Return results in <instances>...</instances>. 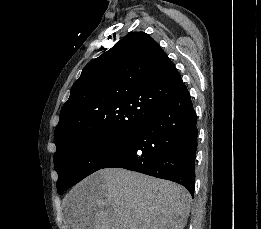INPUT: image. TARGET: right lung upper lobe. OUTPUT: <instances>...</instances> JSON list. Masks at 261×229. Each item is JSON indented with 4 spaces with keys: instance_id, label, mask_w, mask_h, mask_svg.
I'll return each instance as SVG.
<instances>
[{
    "instance_id": "obj_1",
    "label": "right lung upper lobe",
    "mask_w": 261,
    "mask_h": 229,
    "mask_svg": "<svg viewBox=\"0 0 261 229\" xmlns=\"http://www.w3.org/2000/svg\"><path fill=\"white\" fill-rule=\"evenodd\" d=\"M182 84L153 38L144 32L129 33L84 67L61 109L55 144L90 134L136 135Z\"/></svg>"
}]
</instances>
